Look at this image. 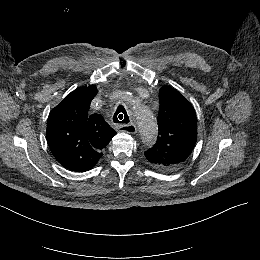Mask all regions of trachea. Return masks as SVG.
<instances>
[{"label":"trachea","mask_w":260,"mask_h":260,"mask_svg":"<svg viewBox=\"0 0 260 260\" xmlns=\"http://www.w3.org/2000/svg\"><path fill=\"white\" fill-rule=\"evenodd\" d=\"M113 122L114 123H122V124H128L129 122V117L126 112V109L122 106L119 105L113 115Z\"/></svg>","instance_id":"3493384b"}]
</instances>
